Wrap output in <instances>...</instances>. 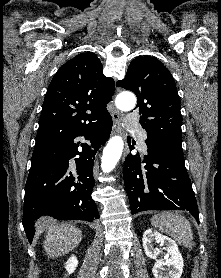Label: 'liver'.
Masks as SVG:
<instances>
[{
	"mask_svg": "<svg viewBox=\"0 0 221 278\" xmlns=\"http://www.w3.org/2000/svg\"><path fill=\"white\" fill-rule=\"evenodd\" d=\"M38 223L46 229L44 249L49 258L65 255L79 245L82 231L70 224H56L48 217H41Z\"/></svg>",
	"mask_w": 221,
	"mask_h": 278,
	"instance_id": "liver-1",
	"label": "liver"
}]
</instances>
